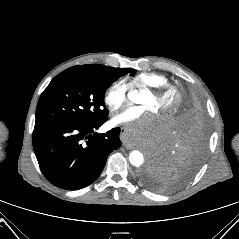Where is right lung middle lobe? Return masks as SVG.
I'll return each instance as SVG.
<instances>
[{
  "label": "right lung middle lobe",
  "mask_w": 239,
  "mask_h": 239,
  "mask_svg": "<svg viewBox=\"0 0 239 239\" xmlns=\"http://www.w3.org/2000/svg\"><path fill=\"white\" fill-rule=\"evenodd\" d=\"M131 71L133 69L117 68L108 73L61 72L41 94L36 122L94 123L107 117L109 111L104 103L106 89Z\"/></svg>",
  "instance_id": "1"
}]
</instances>
